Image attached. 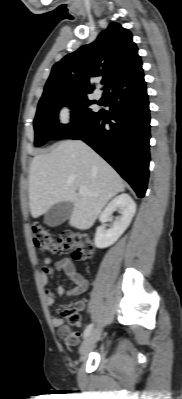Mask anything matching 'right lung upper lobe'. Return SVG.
Wrapping results in <instances>:
<instances>
[{"label": "right lung upper lobe", "mask_w": 182, "mask_h": 399, "mask_svg": "<svg viewBox=\"0 0 182 399\" xmlns=\"http://www.w3.org/2000/svg\"><path fill=\"white\" fill-rule=\"evenodd\" d=\"M132 34L111 23L97 40L80 47L57 62L40 100L66 95H87L93 89L90 78L104 75L106 89L143 73L142 62Z\"/></svg>", "instance_id": "1"}]
</instances>
